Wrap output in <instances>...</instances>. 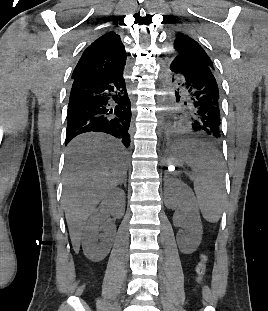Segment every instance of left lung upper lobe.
Segmentation results:
<instances>
[{
  "instance_id": "obj_1",
  "label": "left lung upper lobe",
  "mask_w": 268,
  "mask_h": 311,
  "mask_svg": "<svg viewBox=\"0 0 268 311\" xmlns=\"http://www.w3.org/2000/svg\"><path fill=\"white\" fill-rule=\"evenodd\" d=\"M173 49V53L170 55L172 60L182 62L198 60L215 70L214 64L204 48L196 40L183 32L178 31L174 34Z\"/></svg>"
}]
</instances>
